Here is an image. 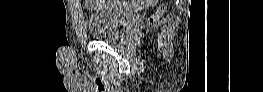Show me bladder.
I'll use <instances>...</instances> for the list:
<instances>
[{
    "instance_id": "31cf9c89",
    "label": "bladder",
    "mask_w": 263,
    "mask_h": 92,
    "mask_svg": "<svg viewBox=\"0 0 263 92\" xmlns=\"http://www.w3.org/2000/svg\"><path fill=\"white\" fill-rule=\"evenodd\" d=\"M111 1H104L103 6L96 8L89 18L90 34L97 40L118 41L122 35L131 30L137 12L129 8H115Z\"/></svg>"
}]
</instances>
